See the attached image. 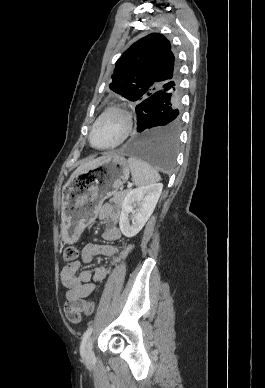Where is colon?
<instances>
[{
    "label": "colon",
    "mask_w": 265,
    "mask_h": 388,
    "mask_svg": "<svg viewBox=\"0 0 265 388\" xmlns=\"http://www.w3.org/2000/svg\"><path fill=\"white\" fill-rule=\"evenodd\" d=\"M78 257V250L75 246H68L63 252V259L68 266H72ZM95 311V304L87 302L83 307V312L87 315H92Z\"/></svg>",
    "instance_id": "1"
}]
</instances>
